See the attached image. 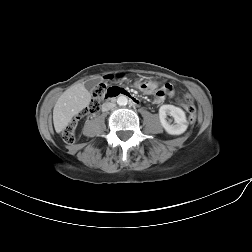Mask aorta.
I'll list each match as a JSON object with an SVG mask.
<instances>
[{
  "label": "aorta",
  "instance_id": "obj_1",
  "mask_svg": "<svg viewBox=\"0 0 252 252\" xmlns=\"http://www.w3.org/2000/svg\"><path fill=\"white\" fill-rule=\"evenodd\" d=\"M128 103V98L124 95H121L117 98V104L120 106H125Z\"/></svg>",
  "mask_w": 252,
  "mask_h": 252
}]
</instances>
